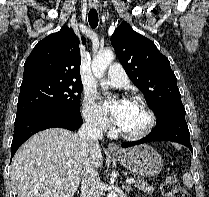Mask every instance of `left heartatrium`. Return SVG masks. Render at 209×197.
Instances as JSON below:
<instances>
[{"label": "left heart atrium", "mask_w": 209, "mask_h": 197, "mask_svg": "<svg viewBox=\"0 0 209 197\" xmlns=\"http://www.w3.org/2000/svg\"><path fill=\"white\" fill-rule=\"evenodd\" d=\"M130 107L131 102L126 99H122L115 104L106 103V108L110 111L118 125L123 122Z\"/></svg>", "instance_id": "1"}]
</instances>
